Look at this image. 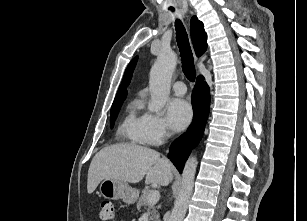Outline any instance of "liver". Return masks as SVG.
<instances>
[{
  "label": "liver",
  "mask_w": 307,
  "mask_h": 221,
  "mask_svg": "<svg viewBox=\"0 0 307 221\" xmlns=\"http://www.w3.org/2000/svg\"><path fill=\"white\" fill-rule=\"evenodd\" d=\"M173 165L148 147L135 144H116L101 149L92 159L87 191L94 192L104 179L167 186L173 178Z\"/></svg>",
  "instance_id": "liver-1"
}]
</instances>
